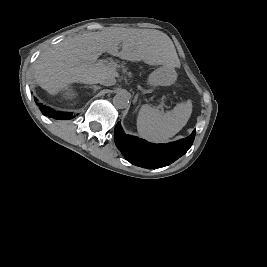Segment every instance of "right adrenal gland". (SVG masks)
Returning a JSON list of instances; mask_svg holds the SVG:
<instances>
[{
    "mask_svg": "<svg viewBox=\"0 0 267 267\" xmlns=\"http://www.w3.org/2000/svg\"><path fill=\"white\" fill-rule=\"evenodd\" d=\"M85 87L92 88L94 91L101 89V87L100 86H97V85L85 86Z\"/></svg>",
    "mask_w": 267,
    "mask_h": 267,
    "instance_id": "1",
    "label": "right adrenal gland"
}]
</instances>
